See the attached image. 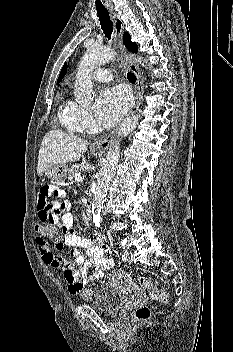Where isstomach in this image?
I'll return each mask as SVG.
<instances>
[{"mask_svg": "<svg viewBox=\"0 0 233 352\" xmlns=\"http://www.w3.org/2000/svg\"><path fill=\"white\" fill-rule=\"evenodd\" d=\"M67 171L66 164L53 165L45 171V176L61 184L66 179Z\"/></svg>", "mask_w": 233, "mask_h": 352, "instance_id": "stomach-1", "label": "stomach"}]
</instances>
